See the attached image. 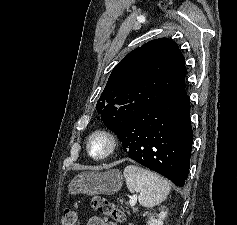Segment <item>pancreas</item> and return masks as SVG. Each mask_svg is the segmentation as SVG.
<instances>
[{
	"label": "pancreas",
	"instance_id": "obj_1",
	"mask_svg": "<svg viewBox=\"0 0 237 225\" xmlns=\"http://www.w3.org/2000/svg\"><path fill=\"white\" fill-rule=\"evenodd\" d=\"M133 211L135 212V211H136V209L134 208V209H133ZM127 213H128V214H130V212H129V211H127Z\"/></svg>",
	"mask_w": 237,
	"mask_h": 225
}]
</instances>
